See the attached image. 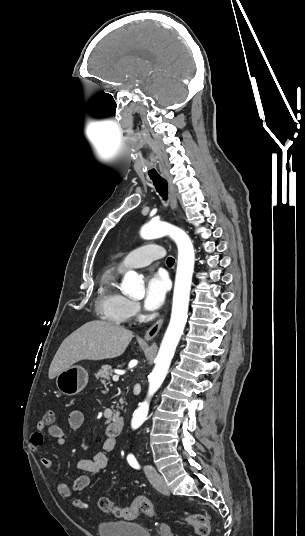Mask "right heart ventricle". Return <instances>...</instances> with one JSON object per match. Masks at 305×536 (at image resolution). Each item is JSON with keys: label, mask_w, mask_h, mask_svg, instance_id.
<instances>
[{"label": "right heart ventricle", "mask_w": 305, "mask_h": 536, "mask_svg": "<svg viewBox=\"0 0 305 536\" xmlns=\"http://www.w3.org/2000/svg\"><path fill=\"white\" fill-rule=\"evenodd\" d=\"M120 270L106 271L100 280L97 305L103 317L118 325H125L130 315L127 311L129 300L116 287L117 275Z\"/></svg>", "instance_id": "1"}]
</instances>
